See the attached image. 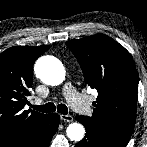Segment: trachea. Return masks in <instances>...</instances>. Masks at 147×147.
<instances>
[{
	"label": "trachea",
	"mask_w": 147,
	"mask_h": 147,
	"mask_svg": "<svg viewBox=\"0 0 147 147\" xmlns=\"http://www.w3.org/2000/svg\"><path fill=\"white\" fill-rule=\"evenodd\" d=\"M34 110L43 112V113H51L54 112L57 108V111L61 114L67 115L68 108L65 104H59L57 107L53 103H46L45 105H36L32 106Z\"/></svg>",
	"instance_id": "trachea-1"
}]
</instances>
